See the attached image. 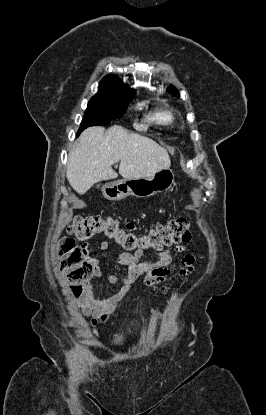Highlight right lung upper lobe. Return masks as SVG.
Returning a JSON list of instances; mask_svg holds the SVG:
<instances>
[{
    "label": "right lung upper lobe",
    "instance_id": "obj_1",
    "mask_svg": "<svg viewBox=\"0 0 266 415\" xmlns=\"http://www.w3.org/2000/svg\"><path fill=\"white\" fill-rule=\"evenodd\" d=\"M123 95L134 97L135 90L125 85L116 76L107 75L100 81L99 91L92 98H108Z\"/></svg>",
    "mask_w": 266,
    "mask_h": 415
}]
</instances>
